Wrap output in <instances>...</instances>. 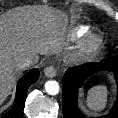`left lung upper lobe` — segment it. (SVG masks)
Returning a JSON list of instances; mask_svg holds the SVG:
<instances>
[{
	"instance_id": "5c2ea615",
	"label": "left lung upper lobe",
	"mask_w": 118,
	"mask_h": 118,
	"mask_svg": "<svg viewBox=\"0 0 118 118\" xmlns=\"http://www.w3.org/2000/svg\"><path fill=\"white\" fill-rule=\"evenodd\" d=\"M116 53H118V49H116V51H115Z\"/></svg>"
}]
</instances>
